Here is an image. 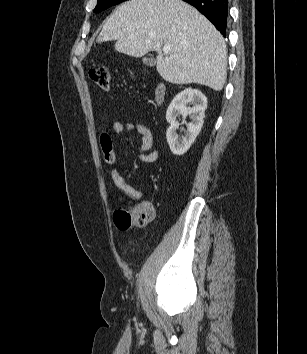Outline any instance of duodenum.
Wrapping results in <instances>:
<instances>
[{
  "mask_svg": "<svg viewBox=\"0 0 307 354\" xmlns=\"http://www.w3.org/2000/svg\"><path fill=\"white\" fill-rule=\"evenodd\" d=\"M164 97V89L162 86H159L156 90V101L161 102Z\"/></svg>",
  "mask_w": 307,
  "mask_h": 354,
  "instance_id": "duodenum-1",
  "label": "duodenum"
}]
</instances>
